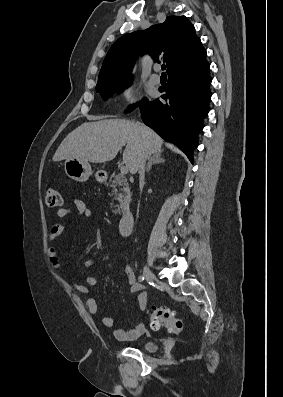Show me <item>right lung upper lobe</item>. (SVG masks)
<instances>
[{
  "label": "right lung upper lobe",
  "instance_id": "cb5924a9",
  "mask_svg": "<svg viewBox=\"0 0 283 397\" xmlns=\"http://www.w3.org/2000/svg\"><path fill=\"white\" fill-rule=\"evenodd\" d=\"M140 52L156 58L163 54L167 73L206 57V50L187 18L168 16L162 24L119 38L104 59L98 81L131 78L134 61Z\"/></svg>",
  "mask_w": 283,
  "mask_h": 397
}]
</instances>
